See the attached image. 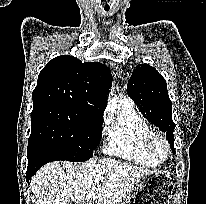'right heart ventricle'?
Instances as JSON below:
<instances>
[{
    "instance_id": "obj_1",
    "label": "right heart ventricle",
    "mask_w": 206,
    "mask_h": 204,
    "mask_svg": "<svg viewBox=\"0 0 206 204\" xmlns=\"http://www.w3.org/2000/svg\"><path fill=\"white\" fill-rule=\"evenodd\" d=\"M152 132L132 102L121 100L106 121L105 153L136 165L156 166L158 163L148 156L144 146Z\"/></svg>"
}]
</instances>
